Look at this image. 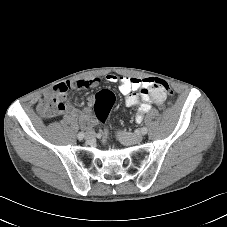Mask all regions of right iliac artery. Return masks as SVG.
Here are the masks:
<instances>
[{
    "label": "right iliac artery",
    "instance_id": "1",
    "mask_svg": "<svg viewBox=\"0 0 227 227\" xmlns=\"http://www.w3.org/2000/svg\"><path fill=\"white\" fill-rule=\"evenodd\" d=\"M84 136H85L84 132H79L78 135H77L79 140H82L84 138Z\"/></svg>",
    "mask_w": 227,
    "mask_h": 227
}]
</instances>
